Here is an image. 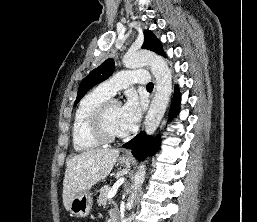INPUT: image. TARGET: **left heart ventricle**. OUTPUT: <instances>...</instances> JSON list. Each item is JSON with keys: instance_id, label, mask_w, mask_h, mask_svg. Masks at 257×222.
Segmentation results:
<instances>
[{"instance_id": "b2bd125f", "label": "left heart ventricle", "mask_w": 257, "mask_h": 222, "mask_svg": "<svg viewBox=\"0 0 257 222\" xmlns=\"http://www.w3.org/2000/svg\"><path fill=\"white\" fill-rule=\"evenodd\" d=\"M120 119H121V106L116 105L111 108L106 119L107 130L111 134L123 135L120 130Z\"/></svg>"}]
</instances>
